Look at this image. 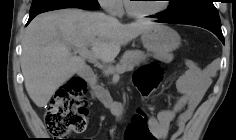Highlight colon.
Returning <instances> with one entry per match:
<instances>
[{"instance_id": "1", "label": "colon", "mask_w": 236, "mask_h": 140, "mask_svg": "<svg viewBox=\"0 0 236 140\" xmlns=\"http://www.w3.org/2000/svg\"><path fill=\"white\" fill-rule=\"evenodd\" d=\"M161 79L162 69L156 63H149L137 71L135 85L145 101L157 91ZM87 112L86 82L79 77H72L56 91L46 109L44 120L54 137L65 138L71 132L85 129ZM124 140H154L144 107H139L131 116Z\"/></svg>"}]
</instances>
